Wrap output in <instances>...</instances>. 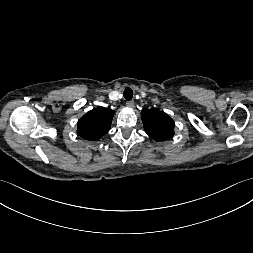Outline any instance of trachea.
<instances>
[{
    "label": "trachea",
    "instance_id": "obj_1",
    "mask_svg": "<svg viewBox=\"0 0 253 253\" xmlns=\"http://www.w3.org/2000/svg\"><path fill=\"white\" fill-rule=\"evenodd\" d=\"M133 97V91L131 88L127 87L125 90H124V98L126 100H131Z\"/></svg>",
    "mask_w": 253,
    "mask_h": 253
}]
</instances>
